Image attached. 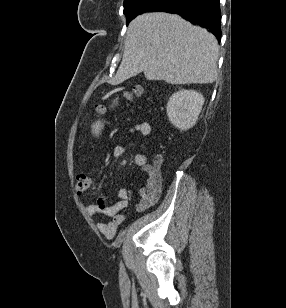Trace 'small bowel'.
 <instances>
[{"label": "small bowel", "mask_w": 286, "mask_h": 308, "mask_svg": "<svg viewBox=\"0 0 286 308\" xmlns=\"http://www.w3.org/2000/svg\"><path fill=\"white\" fill-rule=\"evenodd\" d=\"M153 127L150 122L144 121L129 128L128 133L140 132L144 136L152 134ZM126 153V146L119 144L115 150V157H122ZM135 163L147 175L146 183L140 188V199L136 205L137 212H143L154 206L161 195L162 176L159 171L160 160L156 159L153 164L149 163L148 155L139 152L135 156ZM128 190L121 187L117 191L118 200L113 204H107L104 198L99 199L98 203L87 205L85 210L91 216L103 215L110 218L107 222H98L97 229L106 238H112L118 226L124 221V216L120 211L128 205Z\"/></svg>", "instance_id": "small-bowel-1"}]
</instances>
